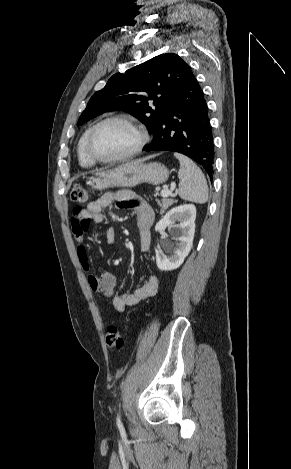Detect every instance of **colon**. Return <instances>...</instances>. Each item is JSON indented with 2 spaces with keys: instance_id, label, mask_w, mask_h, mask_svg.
Here are the masks:
<instances>
[{
  "instance_id": "1",
  "label": "colon",
  "mask_w": 291,
  "mask_h": 469,
  "mask_svg": "<svg viewBox=\"0 0 291 469\" xmlns=\"http://www.w3.org/2000/svg\"><path fill=\"white\" fill-rule=\"evenodd\" d=\"M71 198L74 202L85 203L88 200V192L83 186L77 185L72 190ZM106 343L108 347L117 351H120L124 348V338L116 326L112 325L107 328Z\"/></svg>"
}]
</instances>
